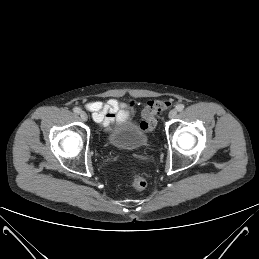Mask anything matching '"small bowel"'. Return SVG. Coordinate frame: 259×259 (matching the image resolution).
I'll use <instances>...</instances> for the list:
<instances>
[{
	"instance_id": "1",
	"label": "small bowel",
	"mask_w": 259,
	"mask_h": 259,
	"mask_svg": "<svg viewBox=\"0 0 259 259\" xmlns=\"http://www.w3.org/2000/svg\"><path fill=\"white\" fill-rule=\"evenodd\" d=\"M85 108L92 113L95 122L108 127L115 121L122 122L130 118L134 113V102L127 105L116 99H109L106 102L90 101L85 104Z\"/></svg>"
}]
</instances>
